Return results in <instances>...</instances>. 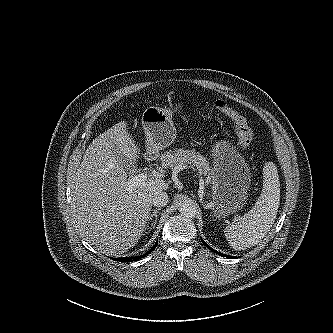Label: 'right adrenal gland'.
Returning <instances> with one entry per match:
<instances>
[{
	"mask_svg": "<svg viewBox=\"0 0 333 333\" xmlns=\"http://www.w3.org/2000/svg\"><path fill=\"white\" fill-rule=\"evenodd\" d=\"M161 210V208H157V209H154L153 210V212L151 213H149V215H148V217H147V219H148V224H150V220H152V218H155V222H154V224L152 225V228H154L155 227V224H156V222H157V216H158V212Z\"/></svg>",
	"mask_w": 333,
	"mask_h": 333,
	"instance_id": "obj_1",
	"label": "right adrenal gland"
}]
</instances>
